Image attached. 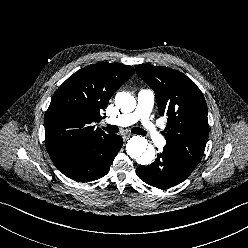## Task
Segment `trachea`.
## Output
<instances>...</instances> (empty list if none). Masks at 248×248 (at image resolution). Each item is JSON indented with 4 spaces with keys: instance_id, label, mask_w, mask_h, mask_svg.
<instances>
[{
    "instance_id": "3493384b",
    "label": "trachea",
    "mask_w": 248,
    "mask_h": 248,
    "mask_svg": "<svg viewBox=\"0 0 248 248\" xmlns=\"http://www.w3.org/2000/svg\"><path fill=\"white\" fill-rule=\"evenodd\" d=\"M103 129L110 134H115L119 132V128L115 125H108L107 127H103ZM131 132L138 135H146V132L139 127L132 128Z\"/></svg>"
}]
</instances>
